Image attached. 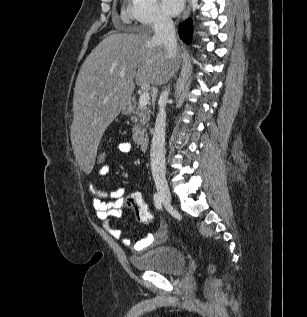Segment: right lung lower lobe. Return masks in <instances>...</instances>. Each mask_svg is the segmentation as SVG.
Masks as SVG:
<instances>
[{"label": "right lung lower lobe", "instance_id": "obj_1", "mask_svg": "<svg viewBox=\"0 0 307 317\" xmlns=\"http://www.w3.org/2000/svg\"><path fill=\"white\" fill-rule=\"evenodd\" d=\"M179 36L186 44H189L192 36V23L190 19H187L180 25Z\"/></svg>", "mask_w": 307, "mask_h": 317}]
</instances>
